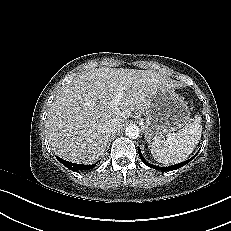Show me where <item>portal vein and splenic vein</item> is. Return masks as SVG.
I'll return each mask as SVG.
<instances>
[{
  "instance_id": "portal-vein-and-splenic-vein-1",
  "label": "portal vein and splenic vein",
  "mask_w": 231,
  "mask_h": 231,
  "mask_svg": "<svg viewBox=\"0 0 231 231\" xmlns=\"http://www.w3.org/2000/svg\"><path fill=\"white\" fill-rule=\"evenodd\" d=\"M119 94L112 100V101H110V105L111 106H115V105H117L118 103H119V101H120V99H121V91H122V89H119Z\"/></svg>"
}]
</instances>
